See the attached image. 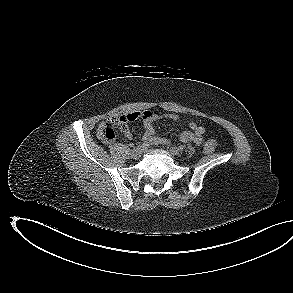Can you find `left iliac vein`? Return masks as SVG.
I'll return each instance as SVG.
<instances>
[{
  "label": "left iliac vein",
  "instance_id": "4c4485c4",
  "mask_svg": "<svg viewBox=\"0 0 293 293\" xmlns=\"http://www.w3.org/2000/svg\"><path fill=\"white\" fill-rule=\"evenodd\" d=\"M170 152H171L173 155H176V156H178V155L180 154V150H179V148H177V147H171V148H170Z\"/></svg>",
  "mask_w": 293,
  "mask_h": 293
}]
</instances>
